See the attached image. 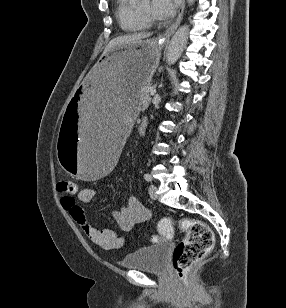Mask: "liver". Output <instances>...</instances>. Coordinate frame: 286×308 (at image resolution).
Listing matches in <instances>:
<instances>
[{
	"label": "liver",
	"mask_w": 286,
	"mask_h": 308,
	"mask_svg": "<svg viewBox=\"0 0 286 308\" xmlns=\"http://www.w3.org/2000/svg\"><path fill=\"white\" fill-rule=\"evenodd\" d=\"M151 35L152 33H134V34L116 37L107 44L102 56H105L110 50H112L116 46L139 41V40L148 38Z\"/></svg>",
	"instance_id": "obj_1"
}]
</instances>
